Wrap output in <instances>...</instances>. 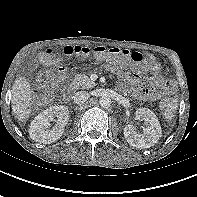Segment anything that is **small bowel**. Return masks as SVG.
Instances as JSON below:
<instances>
[{"label": "small bowel", "mask_w": 197, "mask_h": 197, "mask_svg": "<svg viewBox=\"0 0 197 197\" xmlns=\"http://www.w3.org/2000/svg\"><path fill=\"white\" fill-rule=\"evenodd\" d=\"M119 64L122 69H125L124 71H118V74L124 80L120 87L122 89L129 88L135 98L153 101L164 96L172 97L175 86L170 80L162 77V67L158 62L151 65V76L146 82L137 72L128 69V63L120 61Z\"/></svg>", "instance_id": "obj_1"}]
</instances>
